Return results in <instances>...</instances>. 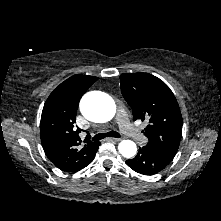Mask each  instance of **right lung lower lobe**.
<instances>
[{
    "mask_svg": "<svg viewBox=\"0 0 221 221\" xmlns=\"http://www.w3.org/2000/svg\"><path fill=\"white\" fill-rule=\"evenodd\" d=\"M99 145H100V143H99ZM99 145H98V147H99ZM98 149V148H97ZM97 151V150H96ZM96 154V153H95ZM95 154H94V156H95ZM94 156L91 158V160L88 162V164L87 165H89L91 162H92V160L94 159Z\"/></svg>",
    "mask_w": 221,
    "mask_h": 221,
    "instance_id": "right-lung-lower-lobe-1",
    "label": "right lung lower lobe"
}]
</instances>
